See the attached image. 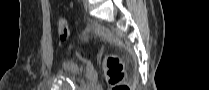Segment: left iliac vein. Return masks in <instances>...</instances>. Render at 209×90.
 Segmentation results:
<instances>
[{
	"label": "left iliac vein",
	"instance_id": "4c4485c4",
	"mask_svg": "<svg viewBox=\"0 0 209 90\" xmlns=\"http://www.w3.org/2000/svg\"><path fill=\"white\" fill-rule=\"evenodd\" d=\"M83 2H84V5H85V8H87V6H88V1L84 0Z\"/></svg>",
	"mask_w": 209,
	"mask_h": 90
}]
</instances>
